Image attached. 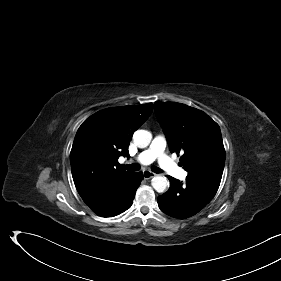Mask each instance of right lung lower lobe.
<instances>
[{
  "label": "right lung lower lobe",
  "mask_w": 281,
  "mask_h": 281,
  "mask_svg": "<svg viewBox=\"0 0 281 281\" xmlns=\"http://www.w3.org/2000/svg\"><path fill=\"white\" fill-rule=\"evenodd\" d=\"M142 179L143 174L141 172L134 173L119 201L112 207L95 211L96 214L102 217H113L129 209L133 203L136 190L139 187Z\"/></svg>",
  "instance_id": "obj_1"
}]
</instances>
